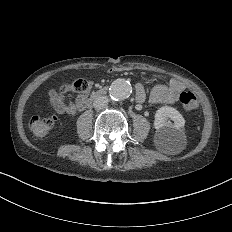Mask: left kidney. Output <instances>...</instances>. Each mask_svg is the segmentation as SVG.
<instances>
[{
    "instance_id": "obj_1",
    "label": "left kidney",
    "mask_w": 232,
    "mask_h": 232,
    "mask_svg": "<svg viewBox=\"0 0 232 232\" xmlns=\"http://www.w3.org/2000/svg\"><path fill=\"white\" fill-rule=\"evenodd\" d=\"M184 119L172 107H161L155 114L156 141L175 142L183 137Z\"/></svg>"
}]
</instances>
